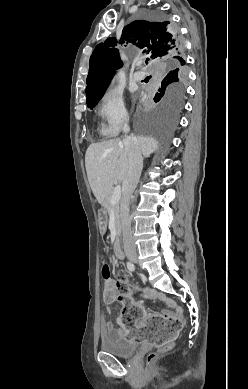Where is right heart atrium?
<instances>
[{
  "label": "right heart atrium",
  "instance_id": "1",
  "mask_svg": "<svg viewBox=\"0 0 248 389\" xmlns=\"http://www.w3.org/2000/svg\"><path fill=\"white\" fill-rule=\"evenodd\" d=\"M98 113L102 119V131L106 135H116L127 125L128 113L123 98L115 91L101 98Z\"/></svg>",
  "mask_w": 248,
  "mask_h": 389
}]
</instances>
